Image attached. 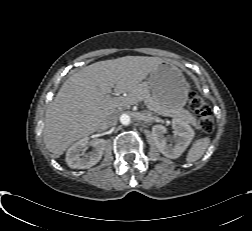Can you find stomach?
I'll use <instances>...</instances> for the list:
<instances>
[{
  "instance_id": "obj_1",
  "label": "stomach",
  "mask_w": 252,
  "mask_h": 231,
  "mask_svg": "<svg viewBox=\"0 0 252 231\" xmlns=\"http://www.w3.org/2000/svg\"><path fill=\"white\" fill-rule=\"evenodd\" d=\"M148 88L153 99L164 109L183 107L188 100L190 85L182 72L168 62H162L150 73Z\"/></svg>"
}]
</instances>
